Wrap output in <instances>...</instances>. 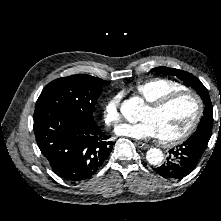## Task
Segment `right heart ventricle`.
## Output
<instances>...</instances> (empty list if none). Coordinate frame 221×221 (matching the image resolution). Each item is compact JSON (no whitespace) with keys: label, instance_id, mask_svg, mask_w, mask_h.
<instances>
[{"label":"right heart ventricle","instance_id":"1","mask_svg":"<svg viewBox=\"0 0 221 221\" xmlns=\"http://www.w3.org/2000/svg\"><path fill=\"white\" fill-rule=\"evenodd\" d=\"M186 90V87L172 79L152 78L136 84L133 91L141 96L147 103L153 102L160 97L176 91Z\"/></svg>","mask_w":221,"mask_h":221}]
</instances>
